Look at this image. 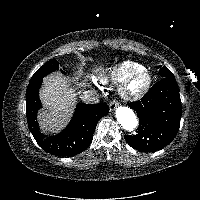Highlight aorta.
Here are the masks:
<instances>
[{
	"label": "aorta",
	"mask_w": 200,
	"mask_h": 200,
	"mask_svg": "<svg viewBox=\"0 0 200 200\" xmlns=\"http://www.w3.org/2000/svg\"><path fill=\"white\" fill-rule=\"evenodd\" d=\"M116 118L118 123L127 131H133L138 126V119L132 109L119 106L116 108Z\"/></svg>",
	"instance_id": "obj_1"
}]
</instances>
